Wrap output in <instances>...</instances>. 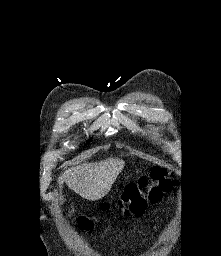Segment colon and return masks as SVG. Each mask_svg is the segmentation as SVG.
<instances>
[{"label":"colon","instance_id":"5ec220e1","mask_svg":"<svg viewBox=\"0 0 221 256\" xmlns=\"http://www.w3.org/2000/svg\"><path fill=\"white\" fill-rule=\"evenodd\" d=\"M174 186V182L167 177L166 171L161 167H153L149 174L143 175L137 182L129 183L115 207L124 210L125 214L142 215L148 204L158 203L164 193L170 191ZM101 209L106 211L110 209V205L105 203ZM78 225L83 230H90L93 222L86 216L77 218Z\"/></svg>","mask_w":221,"mask_h":256}]
</instances>
